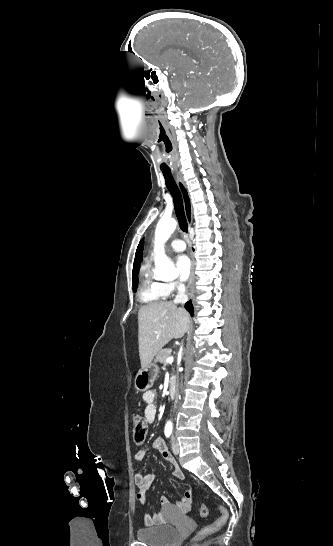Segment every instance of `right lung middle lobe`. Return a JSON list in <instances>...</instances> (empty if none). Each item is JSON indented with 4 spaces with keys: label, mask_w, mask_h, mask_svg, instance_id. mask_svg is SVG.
Here are the masks:
<instances>
[{
    "label": "right lung middle lobe",
    "mask_w": 333,
    "mask_h": 546,
    "mask_svg": "<svg viewBox=\"0 0 333 546\" xmlns=\"http://www.w3.org/2000/svg\"><path fill=\"white\" fill-rule=\"evenodd\" d=\"M137 271H138V264L134 263V266H133V279L135 280V283L133 284V291L134 292L137 289V278H136Z\"/></svg>",
    "instance_id": "dd1d6c3e"
}]
</instances>
